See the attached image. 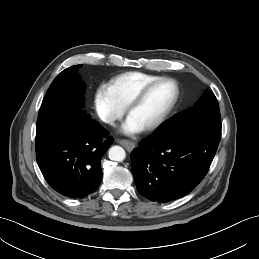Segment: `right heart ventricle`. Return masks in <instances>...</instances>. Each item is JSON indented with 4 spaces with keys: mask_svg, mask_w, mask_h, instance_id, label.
<instances>
[{
    "mask_svg": "<svg viewBox=\"0 0 259 259\" xmlns=\"http://www.w3.org/2000/svg\"><path fill=\"white\" fill-rule=\"evenodd\" d=\"M160 78V76L143 72H126L112 78L106 88L114 101L125 108L135 93L149 82Z\"/></svg>",
    "mask_w": 259,
    "mask_h": 259,
    "instance_id": "1",
    "label": "right heart ventricle"
}]
</instances>
